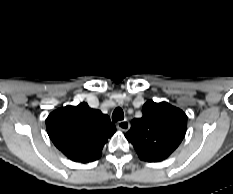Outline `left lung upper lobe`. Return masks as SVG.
<instances>
[{"label":"left lung upper lobe","mask_w":233,"mask_h":194,"mask_svg":"<svg viewBox=\"0 0 233 194\" xmlns=\"http://www.w3.org/2000/svg\"><path fill=\"white\" fill-rule=\"evenodd\" d=\"M143 116L132 120L131 129L125 134L139 158L148 162L166 159L181 143L187 127L186 114L167 102L147 101Z\"/></svg>","instance_id":"5c2ea615"}]
</instances>
